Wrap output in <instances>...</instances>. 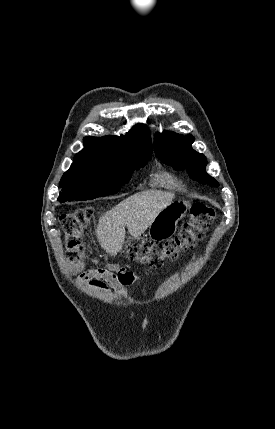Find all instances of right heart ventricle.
<instances>
[{"instance_id":"e07e8e85","label":"right heart ventricle","mask_w":275,"mask_h":429,"mask_svg":"<svg viewBox=\"0 0 275 429\" xmlns=\"http://www.w3.org/2000/svg\"><path fill=\"white\" fill-rule=\"evenodd\" d=\"M158 182L161 185H163L165 187H169V188H172V187H175V186L179 185V182L176 179H174L172 177H169V176L160 177L158 179Z\"/></svg>"}]
</instances>
